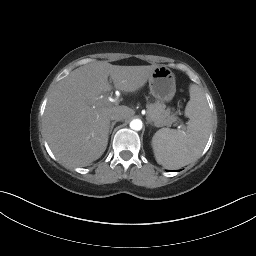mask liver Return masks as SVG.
<instances>
[{"label":"liver","instance_id":"1","mask_svg":"<svg viewBox=\"0 0 256 256\" xmlns=\"http://www.w3.org/2000/svg\"><path fill=\"white\" fill-rule=\"evenodd\" d=\"M157 64L119 66L98 61L81 66L58 82L51 93L43 118L47 142L55 157L65 165L86 166L99 159L108 144L110 115L123 119L133 111L112 105L105 93L114 87L126 93L141 89Z\"/></svg>","mask_w":256,"mask_h":256}]
</instances>
